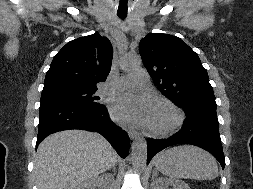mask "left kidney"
Wrapping results in <instances>:
<instances>
[{
	"label": "left kidney",
	"instance_id": "1",
	"mask_svg": "<svg viewBox=\"0 0 253 189\" xmlns=\"http://www.w3.org/2000/svg\"><path fill=\"white\" fill-rule=\"evenodd\" d=\"M152 189H190V187L182 180L159 178L153 181Z\"/></svg>",
	"mask_w": 253,
	"mask_h": 189
}]
</instances>
